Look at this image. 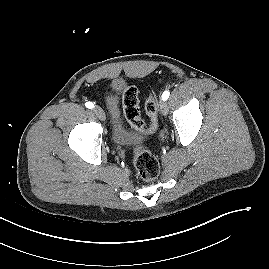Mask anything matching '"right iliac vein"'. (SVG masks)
<instances>
[{"instance_id": "1", "label": "right iliac vein", "mask_w": 269, "mask_h": 269, "mask_svg": "<svg viewBox=\"0 0 269 269\" xmlns=\"http://www.w3.org/2000/svg\"><path fill=\"white\" fill-rule=\"evenodd\" d=\"M93 111L100 120H105V113L102 108L96 106Z\"/></svg>"}]
</instances>
